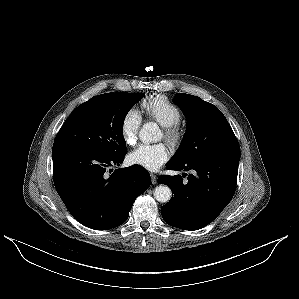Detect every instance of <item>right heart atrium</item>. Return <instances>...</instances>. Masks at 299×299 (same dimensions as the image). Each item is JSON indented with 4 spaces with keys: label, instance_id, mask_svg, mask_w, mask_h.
Returning <instances> with one entry per match:
<instances>
[{
    "label": "right heart atrium",
    "instance_id": "right-heart-atrium-1",
    "mask_svg": "<svg viewBox=\"0 0 299 299\" xmlns=\"http://www.w3.org/2000/svg\"><path fill=\"white\" fill-rule=\"evenodd\" d=\"M141 121V114L135 108L129 109L123 115L120 124V132L127 145H134L136 143Z\"/></svg>",
    "mask_w": 299,
    "mask_h": 299
}]
</instances>
